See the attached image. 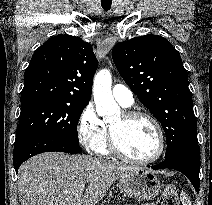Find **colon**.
Listing matches in <instances>:
<instances>
[{
  "label": "colon",
  "mask_w": 212,
  "mask_h": 205,
  "mask_svg": "<svg viewBox=\"0 0 212 205\" xmlns=\"http://www.w3.org/2000/svg\"><path fill=\"white\" fill-rule=\"evenodd\" d=\"M162 205H180L177 191L172 184L167 185L164 189Z\"/></svg>",
  "instance_id": "obj_1"
}]
</instances>
